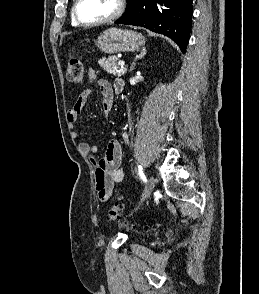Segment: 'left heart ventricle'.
<instances>
[{"label":"left heart ventricle","mask_w":259,"mask_h":294,"mask_svg":"<svg viewBox=\"0 0 259 294\" xmlns=\"http://www.w3.org/2000/svg\"><path fill=\"white\" fill-rule=\"evenodd\" d=\"M116 5V0H81L78 14L82 21L95 22L112 14Z\"/></svg>","instance_id":"b2bd125f"}]
</instances>
